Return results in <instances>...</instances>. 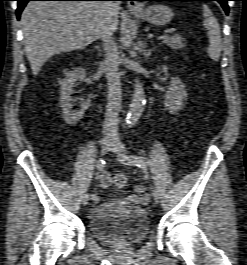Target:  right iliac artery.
Here are the masks:
<instances>
[{
    "mask_svg": "<svg viewBox=\"0 0 247 265\" xmlns=\"http://www.w3.org/2000/svg\"><path fill=\"white\" fill-rule=\"evenodd\" d=\"M105 164H106L105 160L100 158L96 164L97 170L102 171L105 167ZM91 200H92L93 204H97L99 202V198L96 195H92Z\"/></svg>",
    "mask_w": 247,
    "mask_h": 265,
    "instance_id": "right-iliac-artery-1",
    "label": "right iliac artery"
}]
</instances>
